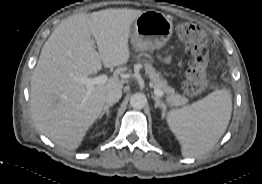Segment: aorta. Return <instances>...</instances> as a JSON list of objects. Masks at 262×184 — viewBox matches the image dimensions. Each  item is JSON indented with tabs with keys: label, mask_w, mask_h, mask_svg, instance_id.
Segmentation results:
<instances>
[{
	"label": "aorta",
	"mask_w": 262,
	"mask_h": 184,
	"mask_svg": "<svg viewBox=\"0 0 262 184\" xmlns=\"http://www.w3.org/2000/svg\"><path fill=\"white\" fill-rule=\"evenodd\" d=\"M147 104V98L143 93H135L130 98V105L134 109H143Z\"/></svg>",
	"instance_id": "obj_1"
}]
</instances>
